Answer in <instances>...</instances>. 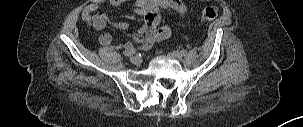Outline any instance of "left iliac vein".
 <instances>
[{"label": "left iliac vein", "mask_w": 303, "mask_h": 127, "mask_svg": "<svg viewBox=\"0 0 303 127\" xmlns=\"http://www.w3.org/2000/svg\"><path fill=\"white\" fill-rule=\"evenodd\" d=\"M171 57L177 59V60H181L182 59V56L179 52L177 51H174L173 53L170 54Z\"/></svg>", "instance_id": "1"}]
</instances>
